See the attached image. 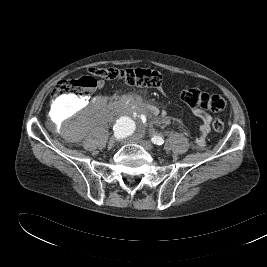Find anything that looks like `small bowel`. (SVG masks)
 Wrapping results in <instances>:
<instances>
[{
    "mask_svg": "<svg viewBox=\"0 0 267 267\" xmlns=\"http://www.w3.org/2000/svg\"><path fill=\"white\" fill-rule=\"evenodd\" d=\"M104 83L101 81L99 82L98 86L101 88L103 87ZM162 94H165L163 90H160ZM156 114V111L154 112ZM193 114L198 117L202 124L200 127V133L196 140L197 145L203 146L205 144V136L210 132V116L208 113L204 112L200 109H194Z\"/></svg>",
    "mask_w": 267,
    "mask_h": 267,
    "instance_id": "obj_1",
    "label": "small bowel"
}]
</instances>
